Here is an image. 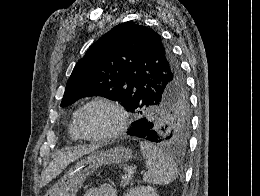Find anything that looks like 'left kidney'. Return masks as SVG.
I'll return each instance as SVG.
<instances>
[{"mask_svg":"<svg viewBox=\"0 0 260 196\" xmlns=\"http://www.w3.org/2000/svg\"><path fill=\"white\" fill-rule=\"evenodd\" d=\"M125 196H158V194L151 186H137V188H131Z\"/></svg>","mask_w":260,"mask_h":196,"instance_id":"left-kidney-1","label":"left kidney"}]
</instances>
